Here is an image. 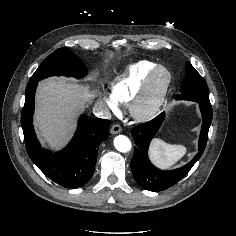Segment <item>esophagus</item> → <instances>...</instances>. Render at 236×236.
<instances>
[{
    "instance_id": "34e87169",
    "label": "esophagus",
    "mask_w": 236,
    "mask_h": 236,
    "mask_svg": "<svg viewBox=\"0 0 236 236\" xmlns=\"http://www.w3.org/2000/svg\"><path fill=\"white\" fill-rule=\"evenodd\" d=\"M122 131V128L119 124H114L112 127H111V133L112 134H118Z\"/></svg>"
}]
</instances>
